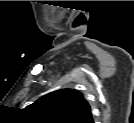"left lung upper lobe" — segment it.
<instances>
[{
  "instance_id": "5c2ea615",
  "label": "left lung upper lobe",
  "mask_w": 134,
  "mask_h": 123,
  "mask_svg": "<svg viewBox=\"0 0 134 123\" xmlns=\"http://www.w3.org/2000/svg\"><path fill=\"white\" fill-rule=\"evenodd\" d=\"M27 108L39 118L55 123H93L88 102L75 89L51 92Z\"/></svg>"
}]
</instances>
